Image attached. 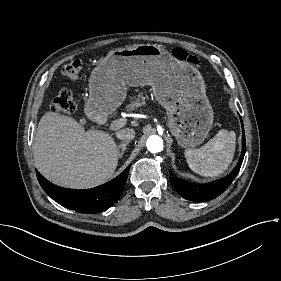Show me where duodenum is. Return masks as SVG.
<instances>
[{
	"mask_svg": "<svg viewBox=\"0 0 281 281\" xmlns=\"http://www.w3.org/2000/svg\"><path fill=\"white\" fill-rule=\"evenodd\" d=\"M97 123H98V125L101 126V127H106V126H108L109 123H110V118H109V116L106 115V114H101V115H99L98 118H97Z\"/></svg>",
	"mask_w": 281,
	"mask_h": 281,
	"instance_id": "1",
	"label": "duodenum"
}]
</instances>
